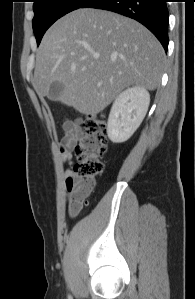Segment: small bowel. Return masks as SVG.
<instances>
[{
    "label": "small bowel",
    "instance_id": "1",
    "mask_svg": "<svg viewBox=\"0 0 195 299\" xmlns=\"http://www.w3.org/2000/svg\"><path fill=\"white\" fill-rule=\"evenodd\" d=\"M64 138H63V145L61 149V161L62 163H69L72 164V149L75 146L76 142L78 141L79 137L81 136L82 129L79 121H68L64 124ZM66 188L69 191L71 189V184L73 181L74 173L71 168L67 169L64 173Z\"/></svg>",
    "mask_w": 195,
    "mask_h": 299
}]
</instances>
